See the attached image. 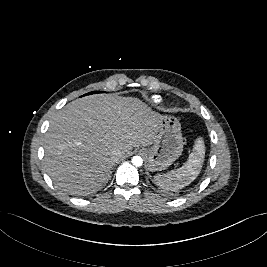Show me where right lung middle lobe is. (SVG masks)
Returning <instances> with one entry per match:
<instances>
[{"mask_svg":"<svg viewBox=\"0 0 267 267\" xmlns=\"http://www.w3.org/2000/svg\"><path fill=\"white\" fill-rule=\"evenodd\" d=\"M96 93H100V91H93V92L87 93V95L96 94Z\"/></svg>","mask_w":267,"mask_h":267,"instance_id":"right-lung-middle-lobe-1","label":"right lung middle lobe"}]
</instances>
